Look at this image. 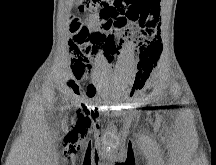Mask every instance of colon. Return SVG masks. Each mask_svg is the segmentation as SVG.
Segmentation results:
<instances>
[{
	"label": "colon",
	"mask_w": 216,
	"mask_h": 165,
	"mask_svg": "<svg viewBox=\"0 0 216 165\" xmlns=\"http://www.w3.org/2000/svg\"><path fill=\"white\" fill-rule=\"evenodd\" d=\"M134 0H85V3L80 7L84 9L101 8H120V5H125L127 8ZM70 31L73 34L72 43V58L89 62L88 57L94 54L97 50H105L106 40L92 32L86 26L82 25L78 19H73L70 25ZM149 34H156V28L147 31ZM160 45L154 43L147 47L140 55L141 75L147 77V74L152 69L153 64L158 60L160 54Z\"/></svg>",
	"instance_id": "1"
}]
</instances>
